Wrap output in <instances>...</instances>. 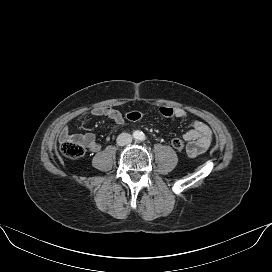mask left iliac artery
<instances>
[{
    "label": "left iliac artery",
    "instance_id": "1",
    "mask_svg": "<svg viewBox=\"0 0 272 272\" xmlns=\"http://www.w3.org/2000/svg\"><path fill=\"white\" fill-rule=\"evenodd\" d=\"M141 140H145V136H142V137H141Z\"/></svg>",
    "mask_w": 272,
    "mask_h": 272
}]
</instances>
